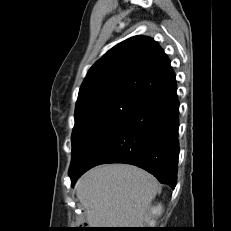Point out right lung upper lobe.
<instances>
[{"mask_svg":"<svg viewBox=\"0 0 231 231\" xmlns=\"http://www.w3.org/2000/svg\"><path fill=\"white\" fill-rule=\"evenodd\" d=\"M175 89V74L163 49L150 37L133 36L114 46L89 69L76 110L107 95L132 94L146 100Z\"/></svg>","mask_w":231,"mask_h":231,"instance_id":"obj_1","label":"right lung upper lobe"}]
</instances>
